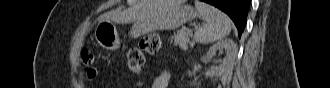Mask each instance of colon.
Listing matches in <instances>:
<instances>
[{
    "label": "colon",
    "instance_id": "5ec220e1",
    "mask_svg": "<svg viewBox=\"0 0 330 88\" xmlns=\"http://www.w3.org/2000/svg\"><path fill=\"white\" fill-rule=\"evenodd\" d=\"M162 41L157 34H148L141 38L137 47L131 48L128 52V66L132 73L140 75L142 73L145 57L144 54H156L162 49ZM93 56L88 49H83L78 61L79 66L88 67L87 76L91 79L96 77V70L90 65Z\"/></svg>",
    "mask_w": 330,
    "mask_h": 88
}]
</instances>
